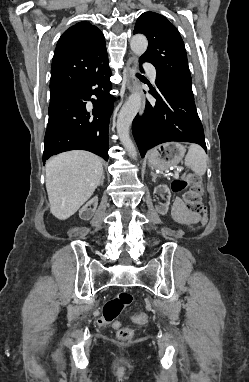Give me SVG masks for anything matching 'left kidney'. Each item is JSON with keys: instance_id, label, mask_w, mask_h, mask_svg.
Segmentation results:
<instances>
[{"instance_id": "5707ae66", "label": "left kidney", "mask_w": 249, "mask_h": 382, "mask_svg": "<svg viewBox=\"0 0 249 382\" xmlns=\"http://www.w3.org/2000/svg\"><path fill=\"white\" fill-rule=\"evenodd\" d=\"M155 191L158 196L152 197L153 203H161V207L165 208V211L170 207V195L171 190L167 187V185H158L155 187Z\"/></svg>"}]
</instances>
